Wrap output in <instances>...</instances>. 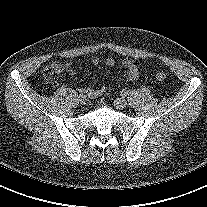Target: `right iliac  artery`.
I'll list each match as a JSON object with an SVG mask.
<instances>
[{"mask_svg":"<svg viewBox=\"0 0 207 207\" xmlns=\"http://www.w3.org/2000/svg\"><path fill=\"white\" fill-rule=\"evenodd\" d=\"M87 91L83 88L79 89L80 95H84Z\"/></svg>","mask_w":207,"mask_h":207,"instance_id":"obj_1","label":"right iliac artery"}]
</instances>
